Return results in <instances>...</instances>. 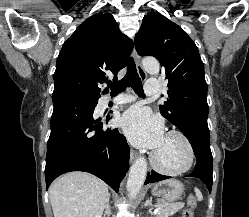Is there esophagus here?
<instances>
[{"label": "esophagus", "instance_id": "1", "mask_svg": "<svg viewBox=\"0 0 249 217\" xmlns=\"http://www.w3.org/2000/svg\"><path fill=\"white\" fill-rule=\"evenodd\" d=\"M132 55H133V58L135 60L136 68H137V71H138V74H139L140 78L142 80H145L147 78V74H146L145 70L143 69V67H142V65L140 63V58H139V55L137 54V51H136L135 47L133 49ZM136 157H137V152L134 151V150H131L130 151V161L131 162L134 161L136 159Z\"/></svg>", "mask_w": 249, "mask_h": 217}]
</instances>
